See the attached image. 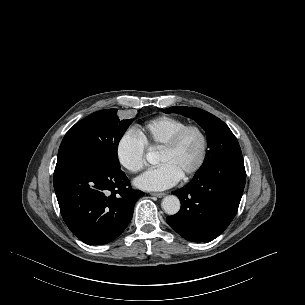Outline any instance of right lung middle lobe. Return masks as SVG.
Listing matches in <instances>:
<instances>
[{
    "label": "right lung middle lobe",
    "instance_id": "right-lung-middle-lobe-1",
    "mask_svg": "<svg viewBox=\"0 0 305 305\" xmlns=\"http://www.w3.org/2000/svg\"><path fill=\"white\" fill-rule=\"evenodd\" d=\"M117 111H97L77 122L62 140L56 166L92 162L120 169L117 147L133 119L120 120Z\"/></svg>",
    "mask_w": 305,
    "mask_h": 305
}]
</instances>
